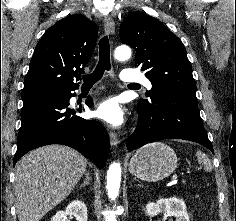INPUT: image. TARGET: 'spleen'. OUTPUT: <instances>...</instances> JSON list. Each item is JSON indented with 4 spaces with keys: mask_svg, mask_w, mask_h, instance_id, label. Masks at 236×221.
Listing matches in <instances>:
<instances>
[{
    "mask_svg": "<svg viewBox=\"0 0 236 221\" xmlns=\"http://www.w3.org/2000/svg\"><path fill=\"white\" fill-rule=\"evenodd\" d=\"M196 156L198 158V162L200 164L204 165V168L206 171H211L212 170V164L210 159L206 156V154H204L201 151H197Z\"/></svg>",
    "mask_w": 236,
    "mask_h": 221,
    "instance_id": "3e777b00",
    "label": "spleen"
}]
</instances>
